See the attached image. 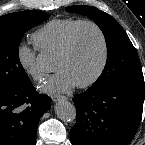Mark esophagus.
<instances>
[{
  "mask_svg": "<svg viewBox=\"0 0 145 145\" xmlns=\"http://www.w3.org/2000/svg\"><path fill=\"white\" fill-rule=\"evenodd\" d=\"M51 99H52L53 102H57L60 99H67V97L66 96H62V95H52Z\"/></svg>",
  "mask_w": 145,
  "mask_h": 145,
  "instance_id": "obj_1",
  "label": "esophagus"
}]
</instances>
